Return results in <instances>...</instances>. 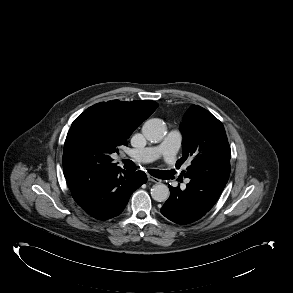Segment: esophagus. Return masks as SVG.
<instances>
[{"label": "esophagus", "mask_w": 293, "mask_h": 293, "mask_svg": "<svg viewBox=\"0 0 293 293\" xmlns=\"http://www.w3.org/2000/svg\"><path fill=\"white\" fill-rule=\"evenodd\" d=\"M148 180L152 181V182H155V183H159L161 181L160 179L155 178V177L150 176V175H148Z\"/></svg>", "instance_id": "34e87169"}]
</instances>
